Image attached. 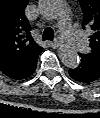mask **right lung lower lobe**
I'll list each match as a JSON object with an SVG mask.
<instances>
[{
  "instance_id": "1",
  "label": "right lung lower lobe",
  "mask_w": 100,
  "mask_h": 118,
  "mask_svg": "<svg viewBox=\"0 0 100 118\" xmlns=\"http://www.w3.org/2000/svg\"><path fill=\"white\" fill-rule=\"evenodd\" d=\"M36 63H37V61H36ZM36 63L32 66L31 70L22 79H26L27 77H29L35 71V69H36Z\"/></svg>"
}]
</instances>
